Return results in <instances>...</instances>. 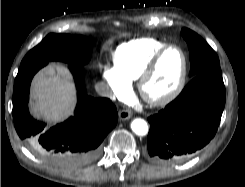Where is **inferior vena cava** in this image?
I'll return each instance as SVG.
<instances>
[{
    "label": "inferior vena cava",
    "instance_id": "1",
    "mask_svg": "<svg viewBox=\"0 0 245 187\" xmlns=\"http://www.w3.org/2000/svg\"><path fill=\"white\" fill-rule=\"evenodd\" d=\"M95 90L100 96H103V97H111L112 96V91H111L110 87L105 82H98L95 85Z\"/></svg>",
    "mask_w": 245,
    "mask_h": 187
}]
</instances>
